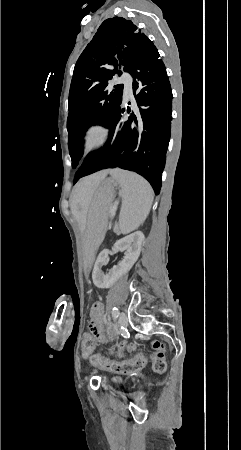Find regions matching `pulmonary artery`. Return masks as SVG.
I'll list each match as a JSON object with an SVG mask.
<instances>
[{
	"mask_svg": "<svg viewBox=\"0 0 241 450\" xmlns=\"http://www.w3.org/2000/svg\"><path fill=\"white\" fill-rule=\"evenodd\" d=\"M130 77V74L129 73H126L125 74V77L123 78V81H124V84H123V87H124V93H125V95H127V96H130V95H132V93H133V90H132V84H131V82H129L128 81V78Z\"/></svg>",
	"mask_w": 241,
	"mask_h": 450,
	"instance_id": "obj_1",
	"label": "pulmonary artery"
}]
</instances>
